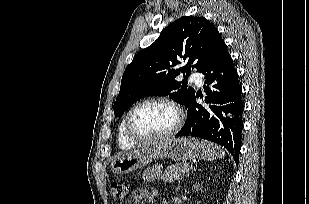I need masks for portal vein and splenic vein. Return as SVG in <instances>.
Here are the masks:
<instances>
[{
    "label": "portal vein and splenic vein",
    "instance_id": "1",
    "mask_svg": "<svg viewBox=\"0 0 309 204\" xmlns=\"http://www.w3.org/2000/svg\"><path fill=\"white\" fill-rule=\"evenodd\" d=\"M189 168H193V166H192V165H189Z\"/></svg>",
    "mask_w": 309,
    "mask_h": 204
}]
</instances>
